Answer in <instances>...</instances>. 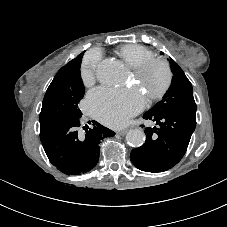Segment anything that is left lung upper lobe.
I'll return each mask as SVG.
<instances>
[{
    "instance_id": "1",
    "label": "left lung upper lobe",
    "mask_w": 227,
    "mask_h": 227,
    "mask_svg": "<svg viewBox=\"0 0 227 227\" xmlns=\"http://www.w3.org/2000/svg\"><path fill=\"white\" fill-rule=\"evenodd\" d=\"M173 79L171 86L163 99L150 112L165 113L179 111L196 115V103L193 97V88L180 66L170 60Z\"/></svg>"
}]
</instances>
